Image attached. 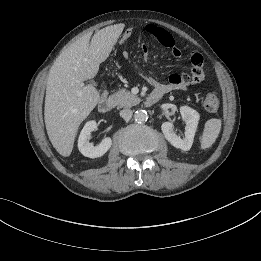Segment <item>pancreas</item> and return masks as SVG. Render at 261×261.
I'll return each mask as SVG.
<instances>
[{"label": "pancreas", "mask_w": 261, "mask_h": 261, "mask_svg": "<svg viewBox=\"0 0 261 261\" xmlns=\"http://www.w3.org/2000/svg\"><path fill=\"white\" fill-rule=\"evenodd\" d=\"M110 100L114 101L118 108H128L140 102V98L126 89H120L118 92L110 96Z\"/></svg>", "instance_id": "obj_1"}]
</instances>
